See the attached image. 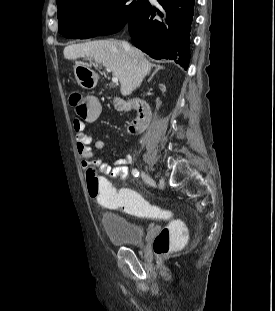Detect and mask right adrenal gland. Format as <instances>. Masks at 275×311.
<instances>
[{"label":"right adrenal gland","mask_w":275,"mask_h":311,"mask_svg":"<svg viewBox=\"0 0 275 311\" xmlns=\"http://www.w3.org/2000/svg\"><path fill=\"white\" fill-rule=\"evenodd\" d=\"M153 67H155V71L150 75V77L148 78V82H150L152 79H153V77H154V75L156 74V73H158V71H160L161 69H163V67H161V66H159V65H153Z\"/></svg>","instance_id":"obj_1"}]
</instances>
